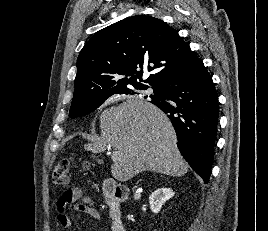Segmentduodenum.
I'll use <instances>...</instances> for the list:
<instances>
[{"label":"duodenum","instance_id":"410a0bca","mask_svg":"<svg viewBox=\"0 0 268 231\" xmlns=\"http://www.w3.org/2000/svg\"><path fill=\"white\" fill-rule=\"evenodd\" d=\"M102 193L109 206L110 218L113 221V231H125L120 202L127 198V192L115 182L106 180L102 186Z\"/></svg>","mask_w":268,"mask_h":231}]
</instances>
